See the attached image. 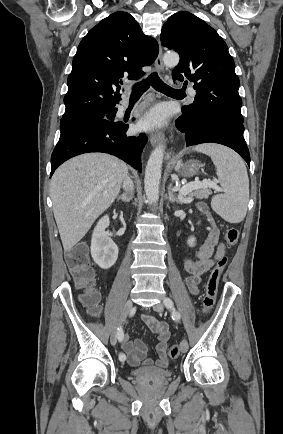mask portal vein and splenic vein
Here are the masks:
<instances>
[{
    "label": "portal vein and splenic vein",
    "mask_w": 283,
    "mask_h": 434,
    "mask_svg": "<svg viewBox=\"0 0 283 434\" xmlns=\"http://www.w3.org/2000/svg\"><path fill=\"white\" fill-rule=\"evenodd\" d=\"M202 186H204V187H210V188H213L215 190H219V187L217 186V184L215 182L208 181V180L204 179L202 182H200V181H194V182H191V183H189L187 185H184L179 190V194H180V196L187 195L192 190H194L196 188H199V187H202ZM185 202H190V201L189 200H185Z\"/></svg>",
    "instance_id": "obj_1"
}]
</instances>
